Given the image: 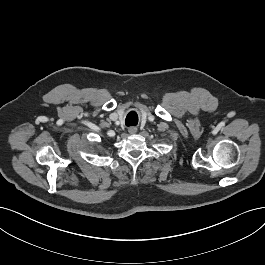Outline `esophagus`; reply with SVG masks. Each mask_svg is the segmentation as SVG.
I'll return each instance as SVG.
<instances>
[{
	"mask_svg": "<svg viewBox=\"0 0 265 265\" xmlns=\"http://www.w3.org/2000/svg\"><path fill=\"white\" fill-rule=\"evenodd\" d=\"M128 132H129L130 134H135V133L137 132V127H134V126L130 127V128L128 129Z\"/></svg>",
	"mask_w": 265,
	"mask_h": 265,
	"instance_id": "34e87169",
	"label": "esophagus"
}]
</instances>
